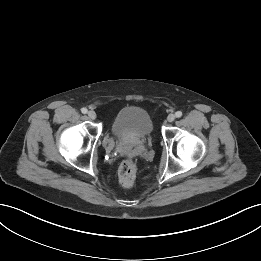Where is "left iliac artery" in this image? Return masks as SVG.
<instances>
[{"instance_id": "44dca946", "label": "left iliac artery", "mask_w": 261, "mask_h": 261, "mask_svg": "<svg viewBox=\"0 0 261 261\" xmlns=\"http://www.w3.org/2000/svg\"><path fill=\"white\" fill-rule=\"evenodd\" d=\"M175 115H176L177 118H180L182 116V112L181 111H177L175 113Z\"/></svg>"}]
</instances>
